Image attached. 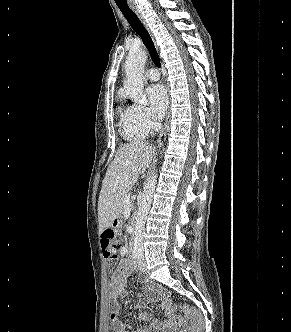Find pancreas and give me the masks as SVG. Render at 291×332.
I'll return each instance as SVG.
<instances>
[{
  "mask_svg": "<svg viewBox=\"0 0 291 332\" xmlns=\"http://www.w3.org/2000/svg\"><path fill=\"white\" fill-rule=\"evenodd\" d=\"M129 195V192L125 193L121 199V203H120V212L121 213H124V211L126 210V207H125V199L127 198V196Z\"/></svg>",
  "mask_w": 291,
  "mask_h": 332,
  "instance_id": "pancreas-1",
  "label": "pancreas"
}]
</instances>
